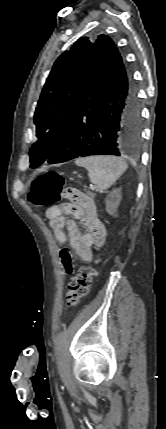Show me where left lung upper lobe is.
I'll return each mask as SVG.
<instances>
[{"instance_id":"1","label":"left lung upper lobe","mask_w":166,"mask_h":429,"mask_svg":"<svg viewBox=\"0 0 166 429\" xmlns=\"http://www.w3.org/2000/svg\"><path fill=\"white\" fill-rule=\"evenodd\" d=\"M94 38L82 37L55 61L34 115L39 141L31 148V168L45 162L59 145L89 77Z\"/></svg>"}]
</instances>
